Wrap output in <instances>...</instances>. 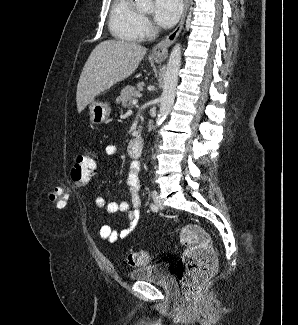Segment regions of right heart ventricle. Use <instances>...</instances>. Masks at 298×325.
Wrapping results in <instances>:
<instances>
[{"instance_id":"right-heart-ventricle-1","label":"right heart ventricle","mask_w":298,"mask_h":325,"mask_svg":"<svg viewBox=\"0 0 298 325\" xmlns=\"http://www.w3.org/2000/svg\"><path fill=\"white\" fill-rule=\"evenodd\" d=\"M140 19L132 0L115 1L109 16L111 37H120V41H138L135 31L140 28Z\"/></svg>"}]
</instances>
